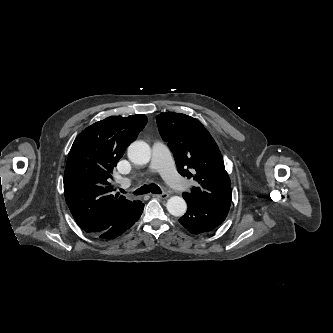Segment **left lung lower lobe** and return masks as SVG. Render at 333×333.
<instances>
[{"label": "left lung lower lobe", "mask_w": 333, "mask_h": 333, "mask_svg": "<svg viewBox=\"0 0 333 333\" xmlns=\"http://www.w3.org/2000/svg\"><path fill=\"white\" fill-rule=\"evenodd\" d=\"M188 209L179 219L180 224L191 234L209 232L218 227L226 218L228 211L205 206L192 197L183 196Z\"/></svg>", "instance_id": "1"}]
</instances>
